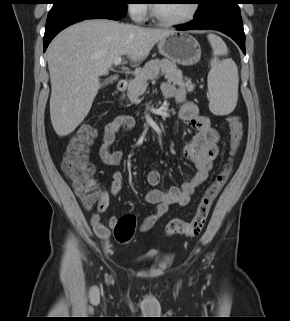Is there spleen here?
I'll use <instances>...</instances> for the list:
<instances>
[{
    "mask_svg": "<svg viewBox=\"0 0 290 321\" xmlns=\"http://www.w3.org/2000/svg\"><path fill=\"white\" fill-rule=\"evenodd\" d=\"M208 41L213 50L208 74L209 109L215 115H227L237 104L239 84L237 65L232 59L219 60V56L228 54L227 46L220 37L208 34Z\"/></svg>",
    "mask_w": 290,
    "mask_h": 321,
    "instance_id": "3e777b00",
    "label": "spleen"
}]
</instances>
